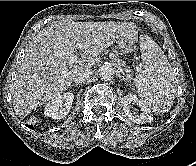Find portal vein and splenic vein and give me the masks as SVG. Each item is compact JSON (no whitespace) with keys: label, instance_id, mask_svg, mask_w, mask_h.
Wrapping results in <instances>:
<instances>
[{"label":"portal vein and splenic vein","instance_id":"portal-vein-and-splenic-vein-1","mask_svg":"<svg viewBox=\"0 0 196 166\" xmlns=\"http://www.w3.org/2000/svg\"><path fill=\"white\" fill-rule=\"evenodd\" d=\"M80 48L82 47L81 45L79 46ZM73 59H76L77 58V55L73 56L72 57ZM141 67V65H139V68Z\"/></svg>","mask_w":196,"mask_h":166}]
</instances>
